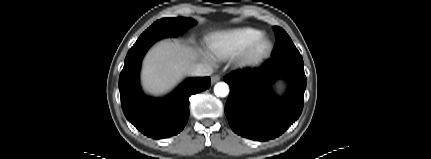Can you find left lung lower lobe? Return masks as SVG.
I'll use <instances>...</instances> for the list:
<instances>
[{"label": "left lung lower lobe", "instance_id": "left-lung-lower-lobe-1", "mask_svg": "<svg viewBox=\"0 0 431 159\" xmlns=\"http://www.w3.org/2000/svg\"><path fill=\"white\" fill-rule=\"evenodd\" d=\"M289 83V92L277 98L270 90L275 79ZM230 85L225 113L238 135L268 141L279 137L300 116L303 109L306 76L303 59H271L254 69H243L224 77Z\"/></svg>", "mask_w": 431, "mask_h": 159}]
</instances>
